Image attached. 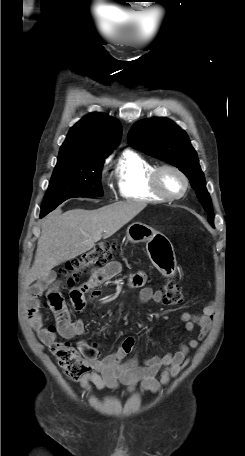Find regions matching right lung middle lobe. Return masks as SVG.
<instances>
[{
  "label": "right lung middle lobe",
  "mask_w": 245,
  "mask_h": 456,
  "mask_svg": "<svg viewBox=\"0 0 245 456\" xmlns=\"http://www.w3.org/2000/svg\"><path fill=\"white\" fill-rule=\"evenodd\" d=\"M101 160H71L57 163L46 192L41 214H48L58 205L73 197H100Z\"/></svg>",
  "instance_id": "dd1d6c3e"
}]
</instances>
